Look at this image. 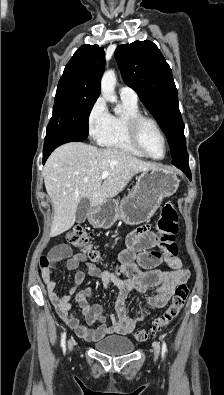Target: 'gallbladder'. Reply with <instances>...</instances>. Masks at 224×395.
<instances>
[{"mask_svg":"<svg viewBox=\"0 0 224 395\" xmlns=\"http://www.w3.org/2000/svg\"><path fill=\"white\" fill-rule=\"evenodd\" d=\"M90 208L91 205L89 199L88 198L81 199L76 209V216H75L76 223L81 224L85 222L88 213L90 211Z\"/></svg>","mask_w":224,"mask_h":395,"instance_id":"obj_1","label":"gallbladder"}]
</instances>
